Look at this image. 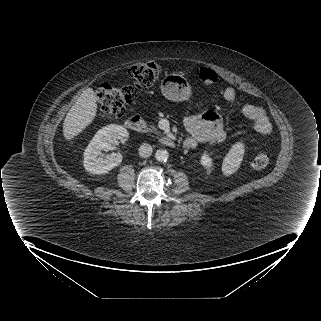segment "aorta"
<instances>
[{
	"instance_id": "762f6f07",
	"label": "aorta",
	"mask_w": 321,
	"mask_h": 321,
	"mask_svg": "<svg viewBox=\"0 0 321 321\" xmlns=\"http://www.w3.org/2000/svg\"><path fill=\"white\" fill-rule=\"evenodd\" d=\"M155 158L159 162H166L169 158V153L166 149H158L155 153Z\"/></svg>"
}]
</instances>
